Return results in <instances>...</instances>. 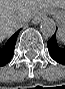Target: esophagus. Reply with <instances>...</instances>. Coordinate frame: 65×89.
I'll return each mask as SVG.
<instances>
[{
	"label": "esophagus",
	"mask_w": 65,
	"mask_h": 89,
	"mask_svg": "<svg viewBox=\"0 0 65 89\" xmlns=\"http://www.w3.org/2000/svg\"><path fill=\"white\" fill-rule=\"evenodd\" d=\"M44 17H45L44 14L40 12V13H38V14L33 18L32 22H33L34 24H38V23L41 22V20H42Z\"/></svg>",
	"instance_id": "1"
}]
</instances>
